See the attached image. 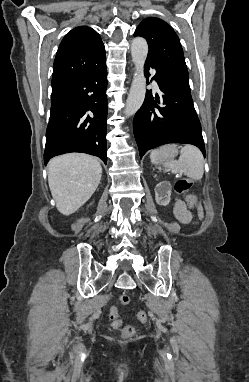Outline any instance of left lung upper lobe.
I'll use <instances>...</instances> for the list:
<instances>
[{"label": "left lung upper lobe", "mask_w": 249, "mask_h": 382, "mask_svg": "<svg viewBox=\"0 0 249 382\" xmlns=\"http://www.w3.org/2000/svg\"><path fill=\"white\" fill-rule=\"evenodd\" d=\"M134 36H142L147 40V59L153 61L162 72L189 87L182 46L169 24L156 17L146 18L138 25Z\"/></svg>", "instance_id": "left-lung-upper-lobe-1"}]
</instances>
